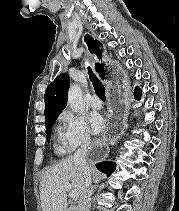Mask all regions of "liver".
Returning a JSON list of instances; mask_svg holds the SVG:
<instances>
[{
  "label": "liver",
  "instance_id": "obj_1",
  "mask_svg": "<svg viewBox=\"0 0 179 211\" xmlns=\"http://www.w3.org/2000/svg\"><path fill=\"white\" fill-rule=\"evenodd\" d=\"M64 183L82 195L84 190V172L73 156H68L50 167L40 182L42 211H69Z\"/></svg>",
  "mask_w": 179,
  "mask_h": 211
}]
</instances>
